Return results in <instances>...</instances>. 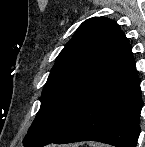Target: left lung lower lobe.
Segmentation results:
<instances>
[{"label":"left lung lower lobe","instance_id":"1","mask_svg":"<svg viewBox=\"0 0 145 147\" xmlns=\"http://www.w3.org/2000/svg\"><path fill=\"white\" fill-rule=\"evenodd\" d=\"M142 104L131 47L121 33L71 124L45 145L91 140L135 147Z\"/></svg>","mask_w":145,"mask_h":147}]
</instances>
